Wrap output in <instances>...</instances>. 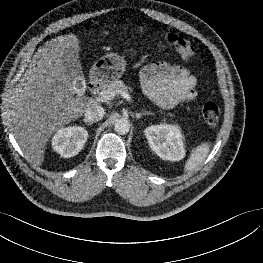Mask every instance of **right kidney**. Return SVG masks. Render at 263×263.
I'll return each mask as SVG.
<instances>
[{"label": "right kidney", "instance_id": "obj_1", "mask_svg": "<svg viewBox=\"0 0 263 263\" xmlns=\"http://www.w3.org/2000/svg\"><path fill=\"white\" fill-rule=\"evenodd\" d=\"M88 132L84 127H65L56 132L52 139L53 149L64 158L77 155L84 147Z\"/></svg>", "mask_w": 263, "mask_h": 263}]
</instances>
